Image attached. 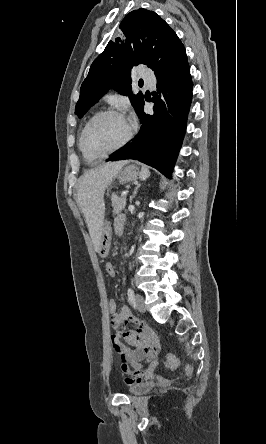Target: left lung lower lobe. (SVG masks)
Masks as SVG:
<instances>
[{"mask_svg": "<svg viewBox=\"0 0 266 444\" xmlns=\"http://www.w3.org/2000/svg\"><path fill=\"white\" fill-rule=\"evenodd\" d=\"M157 93L153 115L138 110L141 129L132 143L107 161L135 159L171 177L186 131L192 99V81L186 51L165 70L156 75Z\"/></svg>", "mask_w": 266, "mask_h": 444, "instance_id": "left-lung-lower-lobe-1", "label": "left lung lower lobe"}]
</instances>
